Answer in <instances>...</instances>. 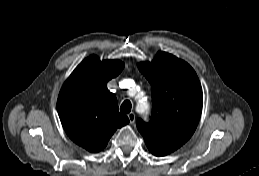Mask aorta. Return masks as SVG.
<instances>
[{
    "label": "aorta",
    "instance_id": "aorta-1",
    "mask_svg": "<svg viewBox=\"0 0 259 176\" xmlns=\"http://www.w3.org/2000/svg\"><path fill=\"white\" fill-rule=\"evenodd\" d=\"M143 105H144L145 107H147V106H148L146 102H143Z\"/></svg>",
    "mask_w": 259,
    "mask_h": 176
}]
</instances>
